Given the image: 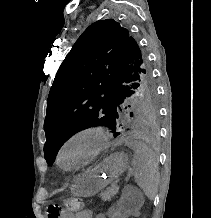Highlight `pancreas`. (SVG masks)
<instances>
[{"instance_id":"cf45deb5","label":"pancreas","mask_w":211,"mask_h":218,"mask_svg":"<svg viewBox=\"0 0 211 218\" xmlns=\"http://www.w3.org/2000/svg\"><path fill=\"white\" fill-rule=\"evenodd\" d=\"M119 192L118 182H112L111 188H107L105 192H102V200L106 202V200H111L112 196H116Z\"/></svg>"}]
</instances>
